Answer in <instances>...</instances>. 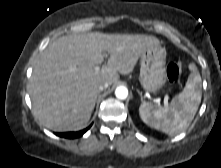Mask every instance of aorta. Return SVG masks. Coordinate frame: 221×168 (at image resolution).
Returning a JSON list of instances; mask_svg holds the SVG:
<instances>
[{
	"label": "aorta",
	"mask_w": 221,
	"mask_h": 168,
	"mask_svg": "<svg viewBox=\"0 0 221 168\" xmlns=\"http://www.w3.org/2000/svg\"><path fill=\"white\" fill-rule=\"evenodd\" d=\"M115 95L118 99H126L128 96V89L124 86H119L115 90Z\"/></svg>",
	"instance_id": "aorta-1"
}]
</instances>
